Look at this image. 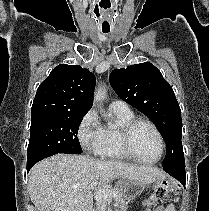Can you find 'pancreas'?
<instances>
[{"mask_svg": "<svg viewBox=\"0 0 209 211\" xmlns=\"http://www.w3.org/2000/svg\"><path fill=\"white\" fill-rule=\"evenodd\" d=\"M111 191H115L117 193L114 199L119 207L118 211H127L128 205L126 203V200L122 191L117 187H114ZM106 207H107V200L97 199L95 211H106Z\"/></svg>", "mask_w": 209, "mask_h": 211, "instance_id": "cf45deb5", "label": "pancreas"}]
</instances>
